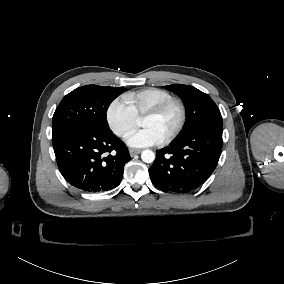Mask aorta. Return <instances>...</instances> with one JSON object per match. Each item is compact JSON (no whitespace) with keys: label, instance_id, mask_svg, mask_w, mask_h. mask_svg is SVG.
Segmentation results:
<instances>
[{"label":"aorta","instance_id":"obj_1","mask_svg":"<svg viewBox=\"0 0 284 284\" xmlns=\"http://www.w3.org/2000/svg\"><path fill=\"white\" fill-rule=\"evenodd\" d=\"M141 159L145 163H152L155 160V153L151 150H144L141 153Z\"/></svg>","mask_w":284,"mask_h":284}]
</instances>
